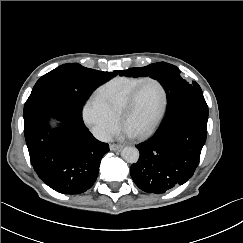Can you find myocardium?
Wrapping results in <instances>:
<instances>
[{
    "instance_id": "f54148a6",
    "label": "myocardium",
    "mask_w": 243,
    "mask_h": 243,
    "mask_svg": "<svg viewBox=\"0 0 243 243\" xmlns=\"http://www.w3.org/2000/svg\"><path fill=\"white\" fill-rule=\"evenodd\" d=\"M146 82H155L156 84H158V86L160 87V89L162 91V103H161V107H160L156 117L154 118V120L150 124V126L147 127L145 130L135 134L136 136L141 137V138L150 135L156 129V127L158 126V124L160 123L161 119L163 118V116L165 114V111L167 108V102H168V95H167V91H166L164 84L159 79L154 78V77H146V78L142 79L130 92V94L126 98L125 102L123 103V105L119 111V120L123 124L127 112L132 108V106L135 102V99H136V96H137V93H138L140 87Z\"/></svg>"
}]
</instances>
